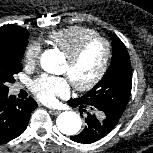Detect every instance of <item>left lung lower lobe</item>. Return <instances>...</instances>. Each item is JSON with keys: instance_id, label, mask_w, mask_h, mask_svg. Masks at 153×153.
Returning a JSON list of instances; mask_svg holds the SVG:
<instances>
[{"instance_id": "obj_1", "label": "left lung lower lobe", "mask_w": 153, "mask_h": 153, "mask_svg": "<svg viewBox=\"0 0 153 153\" xmlns=\"http://www.w3.org/2000/svg\"><path fill=\"white\" fill-rule=\"evenodd\" d=\"M68 103L72 107L79 106V108H88L89 110V112H87L88 116L85 119L86 127L80 134L71 136L70 139L72 141L82 144L96 142L106 136L117 124L111 117L106 116L92 106L82 104L76 100H70Z\"/></svg>"}]
</instances>
